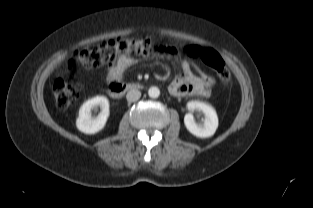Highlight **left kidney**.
Returning <instances> with one entry per match:
<instances>
[{
  "label": "left kidney",
  "mask_w": 313,
  "mask_h": 208,
  "mask_svg": "<svg viewBox=\"0 0 313 208\" xmlns=\"http://www.w3.org/2000/svg\"><path fill=\"white\" fill-rule=\"evenodd\" d=\"M188 113L184 117V124L187 130L200 138H207L214 135L218 128V117L214 108L204 102L190 101L187 104ZM204 114L203 124H197L193 117V112Z\"/></svg>",
  "instance_id": "1"
}]
</instances>
